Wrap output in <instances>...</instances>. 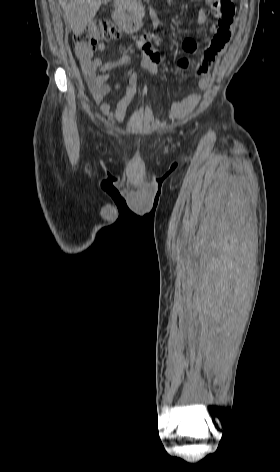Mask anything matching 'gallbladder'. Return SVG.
<instances>
[{
	"label": "gallbladder",
	"mask_w": 280,
	"mask_h": 472,
	"mask_svg": "<svg viewBox=\"0 0 280 472\" xmlns=\"http://www.w3.org/2000/svg\"><path fill=\"white\" fill-rule=\"evenodd\" d=\"M110 0H102L103 4H107Z\"/></svg>",
	"instance_id": "gallbladder-1"
}]
</instances>
